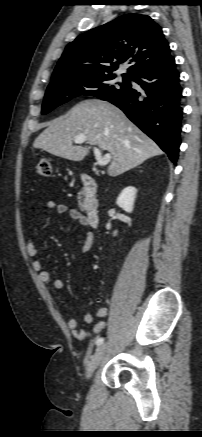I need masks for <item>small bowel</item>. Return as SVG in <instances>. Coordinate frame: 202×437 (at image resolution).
Masks as SVG:
<instances>
[{
  "instance_id": "1",
  "label": "small bowel",
  "mask_w": 202,
  "mask_h": 437,
  "mask_svg": "<svg viewBox=\"0 0 202 437\" xmlns=\"http://www.w3.org/2000/svg\"><path fill=\"white\" fill-rule=\"evenodd\" d=\"M46 207L49 210L55 211L58 215H68V217L74 221H77L84 227H88V222L86 216H84L81 212L74 208H70L65 204H57L55 201L49 200L46 202ZM93 244V235L90 231L86 234V240L83 245L82 251L88 252ZM27 253L31 257H37L39 255V250L37 249L35 243L32 240H29L26 245ZM32 269L36 273L38 279L50 287L53 290H60L63 288V281L59 278L51 279L50 274L44 270L43 264L40 260L32 261ZM95 316L100 319H105L108 316V309L105 307L99 308ZM94 320V315L92 313H86L83 316V321L86 324L92 323ZM67 326L72 332L73 336L79 340H86L89 338H94L98 336L107 326L105 321L98 322L91 332H87L84 329L79 327V322L76 318H69L67 321Z\"/></svg>"
}]
</instances>
